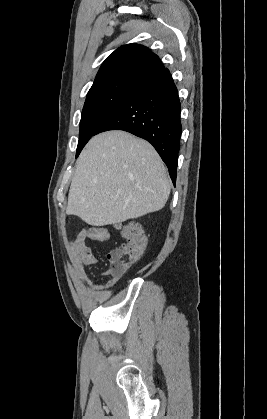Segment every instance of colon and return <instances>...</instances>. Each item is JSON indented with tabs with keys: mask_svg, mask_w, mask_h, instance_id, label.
I'll list each match as a JSON object with an SVG mask.
<instances>
[{
	"mask_svg": "<svg viewBox=\"0 0 267 419\" xmlns=\"http://www.w3.org/2000/svg\"><path fill=\"white\" fill-rule=\"evenodd\" d=\"M124 243L109 254V271L114 275L125 273L144 253L146 240L141 226L128 221L118 225Z\"/></svg>",
	"mask_w": 267,
	"mask_h": 419,
	"instance_id": "obj_1",
	"label": "colon"
}]
</instances>
